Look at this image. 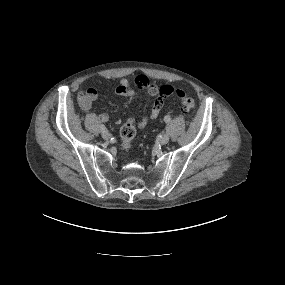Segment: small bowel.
<instances>
[{
    "label": "small bowel",
    "instance_id": "c3829d8e",
    "mask_svg": "<svg viewBox=\"0 0 285 285\" xmlns=\"http://www.w3.org/2000/svg\"><path fill=\"white\" fill-rule=\"evenodd\" d=\"M135 84L137 88L146 91L153 98V103L149 114L142 117L137 122V128L143 129L146 127L150 120H155L158 118L163 108L164 100L166 98L174 96L175 89L169 85L158 86L145 76H138L136 78ZM116 93L126 98H132L135 95V89L127 79H122L116 87ZM96 98V90L90 89L85 97L81 100L82 109L86 112L90 111ZM98 118L101 122L105 123L108 121L109 116L106 113H101L98 115Z\"/></svg>",
    "mask_w": 285,
    "mask_h": 285
}]
</instances>
